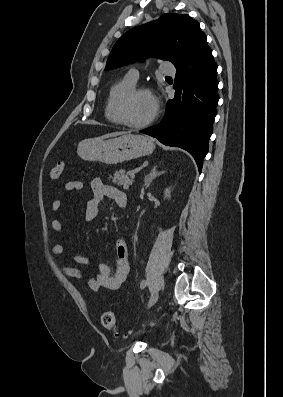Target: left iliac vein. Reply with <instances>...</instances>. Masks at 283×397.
Segmentation results:
<instances>
[{
	"mask_svg": "<svg viewBox=\"0 0 283 397\" xmlns=\"http://www.w3.org/2000/svg\"><path fill=\"white\" fill-rule=\"evenodd\" d=\"M159 298V293L158 292H154L151 297L150 300L148 302V308L152 307L158 300Z\"/></svg>",
	"mask_w": 283,
	"mask_h": 397,
	"instance_id": "left-iliac-vein-1",
	"label": "left iliac vein"
}]
</instances>
